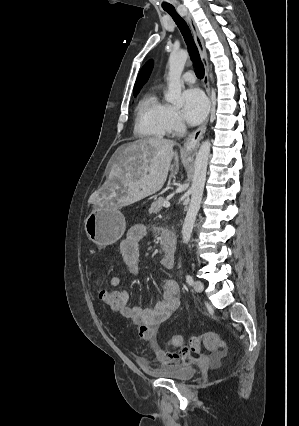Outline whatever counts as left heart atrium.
<instances>
[{"instance_id": "left-heart-atrium-1", "label": "left heart atrium", "mask_w": 299, "mask_h": 426, "mask_svg": "<svg viewBox=\"0 0 299 426\" xmlns=\"http://www.w3.org/2000/svg\"><path fill=\"white\" fill-rule=\"evenodd\" d=\"M183 99V118L190 124L200 123L208 111V102L204 94L197 88H190L183 93Z\"/></svg>"}]
</instances>
